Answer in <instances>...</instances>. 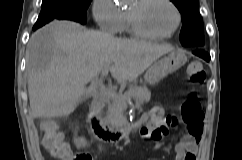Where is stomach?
Here are the masks:
<instances>
[{"label":"stomach","instance_id":"stomach-1","mask_svg":"<svg viewBox=\"0 0 242 160\" xmlns=\"http://www.w3.org/2000/svg\"><path fill=\"white\" fill-rule=\"evenodd\" d=\"M187 61L186 56L180 51H172L170 54L155 61L144 75V80L149 85H156L166 75L179 69Z\"/></svg>","mask_w":242,"mask_h":160}]
</instances>
